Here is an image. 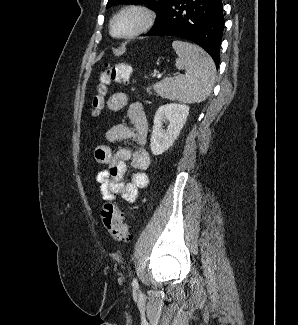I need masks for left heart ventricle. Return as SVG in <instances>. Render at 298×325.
<instances>
[{"label":"left heart ventricle","mask_w":298,"mask_h":325,"mask_svg":"<svg viewBox=\"0 0 298 325\" xmlns=\"http://www.w3.org/2000/svg\"><path fill=\"white\" fill-rule=\"evenodd\" d=\"M135 27V21L132 18L122 19L116 26L117 34H128Z\"/></svg>","instance_id":"b2bd125f"}]
</instances>
